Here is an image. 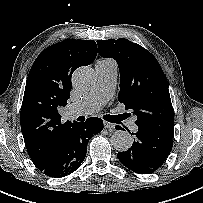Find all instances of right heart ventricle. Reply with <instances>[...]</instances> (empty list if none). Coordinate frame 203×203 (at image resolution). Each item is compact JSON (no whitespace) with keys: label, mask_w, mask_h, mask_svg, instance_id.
Wrapping results in <instances>:
<instances>
[{"label":"right heart ventricle","mask_w":203,"mask_h":203,"mask_svg":"<svg viewBox=\"0 0 203 203\" xmlns=\"http://www.w3.org/2000/svg\"><path fill=\"white\" fill-rule=\"evenodd\" d=\"M105 61L112 62L111 60H105Z\"/></svg>","instance_id":"1"}]
</instances>
